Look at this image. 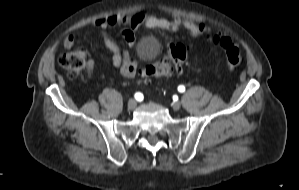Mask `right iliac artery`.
I'll use <instances>...</instances> for the list:
<instances>
[{"label":"right iliac artery","instance_id":"1","mask_svg":"<svg viewBox=\"0 0 299 190\" xmlns=\"http://www.w3.org/2000/svg\"><path fill=\"white\" fill-rule=\"evenodd\" d=\"M135 99L138 100V101H141V100H143V95L141 93H136L135 94Z\"/></svg>","mask_w":299,"mask_h":190}]
</instances>
